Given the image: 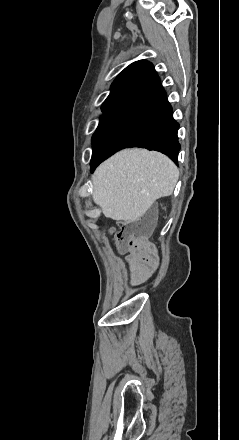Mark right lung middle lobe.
Masks as SVG:
<instances>
[{"label": "right lung middle lobe", "mask_w": 239, "mask_h": 440, "mask_svg": "<svg viewBox=\"0 0 239 440\" xmlns=\"http://www.w3.org/2000/svg\"><path fill=\"white\" fill-rule=\"evenodd\" d=\"M130 100H117L104 103L101 107L103 115L100 118L99 126L92 137L93 152L97 149L104 136L114 126Z\"/></svg>", "instance_id": "obj_1"}]
</instances>
